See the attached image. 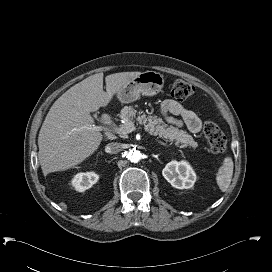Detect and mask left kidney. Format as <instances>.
Wrapping results in <instances>:
<instances>
[{
  "mask_svg": "<svg viewBox=\"0 0 272 272\" xmlns=\"http://www.w3.org/2000/svg\"><path fill=\"white\" fill-rule=\"evenodd\" d=\"M163 177L177 189L192 188L196 181V174L190 164L182 160L171 161L162 171Z\"/></svg>",
  "mask_w": 272,
  "mask_h": 272,
  "instance_id": "1",
  "label": "left kidney"
}]
</instances>
